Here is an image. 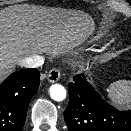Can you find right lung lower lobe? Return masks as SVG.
<instances>
[{"instance_id": "right-lung-lower-lobe-1", "label": "right lung lower lobe", "mask_w": 131, "mask_h": 131, "mask_svg": "<svg viewBox=\"0 0 131 131\" xmlns=\"http://www.w3.org/2000/svg\"><path fill=\"white\" fill-rule=\"evenodd\" d=\"M37 69H22L0 85V131H21L32 96L39 87Z\"/></svg>"}]
</instances>
